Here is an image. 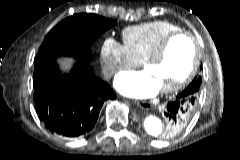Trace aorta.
Here are the masks:
<instances>
[{
	"instance_id": "aorta-1",
	"label": "aorta",
	"mask_w": 240,
	"mask_h": 160,
	"mask_svg": "<svg viewBox=\"0 0 240 160\" xmlns=\"http://www.w3.org/2000/svg\"><path fill=\"white\" fill-rule=\"evenodd\" d=\"M163 121L154 115H146L143 120V128L145 132L151 137H159L164 131Z\"/></svg>"
}]
</instances>
